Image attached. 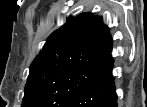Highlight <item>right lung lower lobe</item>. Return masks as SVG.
I'll return each mask as SVG.
<instances>
[{"mask_svg": "<svg viewBox=\"0 0 147 107\" xmlns=\"http://www.w3.org/2000/svg\"><path fill=\"white\" fill-rule=\"evenodd\" d=\"M112 68L113 60L102 67L92 81L65 107H117Z\"/></svg>", "mask_w": 147, "mask_h": 107, "instance_id": "obj_1", "label": "right lung lower lobe"}]
</instances>
